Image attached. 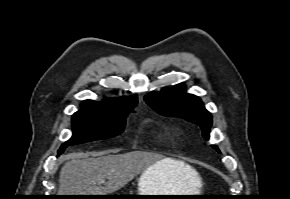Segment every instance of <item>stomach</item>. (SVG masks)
<instances>
[{"label": "stomach", "mask_w": 290, "mask_h": 199, "mask_svg": "<svg viewBox=\"0 0 290 199\" xmlns=\"http://www.w3.org/2000/svg\"><path fill=\"white\" fill-rule=\"evenodd\" d=\"M153 165L143 171L138 179V195H195L176 194L172 192L173 177L170 174L157 170ZM199 181V180H198ZM153 199H189L190 197H151Z\"/></svg>", "instance_id": "1"}]
</instances>
